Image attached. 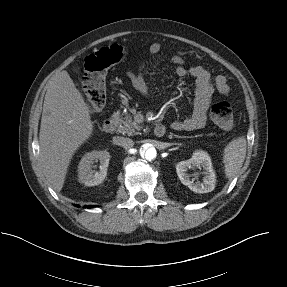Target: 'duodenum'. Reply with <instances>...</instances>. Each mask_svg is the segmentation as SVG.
<instances>
[{"label": "duodenum", "mask_w": 287, "mask_h": 287, "mask_svg": "<svg viewBox=\"0 0 287 287\" xmlns=\"http://www.w3.org/2000/svg\"><path fill=\"white\" fill-rule=\"evenodd\" d=\"M103 129L107 133H113L116 130V122L113 118H108L103 123ZM166 132L165 126L163 124H156L154 127V134L157 137H162Z\"/></svg>", "instance_id": "1"}]
</instances>
